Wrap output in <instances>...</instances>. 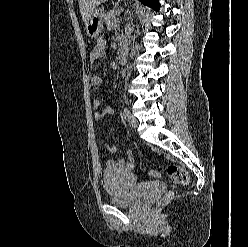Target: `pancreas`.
Instances as JSON below:
<instances>
[{
	"label": "pancreas",
	"instance_id": "obj_1",
	"mask_svg": "<svg viewBox=\"0 0 248 247\" xmlns=\"http://www.w3.org/2000/svg\"><path fill=\"white\" fill-rule=\"evenodd\" d=\"M118 15L119 13L117 9L110 10L105 15V22L108 29H114L117 26L119 23V19L117 18Z\"/></svg>",
	"mask_w": 248,
	"mask_h": 247
}]
</instances>
